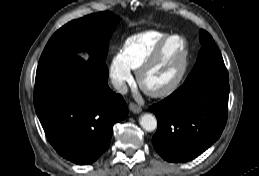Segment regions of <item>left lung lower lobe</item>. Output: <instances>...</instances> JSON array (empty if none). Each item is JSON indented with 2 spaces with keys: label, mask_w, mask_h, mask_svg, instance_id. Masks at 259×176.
Listing matches in <instances>:
<instances>
[{
  "label": "left lung lower lobe",
  "mask_w": 259,
  "mask_h": 176,
  "mask_svg": "<svg viewBox=\"0 0 259 176\" xmlns=\"http://www.w3.org/2000/svg\"><path fill=\"white\" fill-rule=\"evenodd\" d=\"M228 78L201 76L149 107L158 120L153 146L169 162L194 159L220 137L228 113Z\"/></svg>",
  "instance_id": "1"
}]
</instances>
